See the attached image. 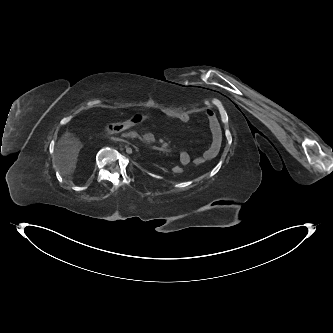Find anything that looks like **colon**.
I'll return each instance as SVG.
<instances>
[{"label":"colon","mask_w":333,"mask_h":333,"mask_svg":"<svg viewBox=\"0 0 333 333\" xmlns=\"http://www.w3.org/2000/svg\"><path fill=\"white\" fill-rule=\"evenodd\" d=\"M162 118V113L159 110H152L143 113L129 114L126 119L121 120L120 122H116L114 124H110L105 128V132L107 134L117 133L119 131L126 129H131L132 125L149 123L152 121H159ZM171 170L174 173L182 174L183 172H187V167L182 165L174 164L171 167Z\"/></svg>","instance_id":"1"}]
</instances>
